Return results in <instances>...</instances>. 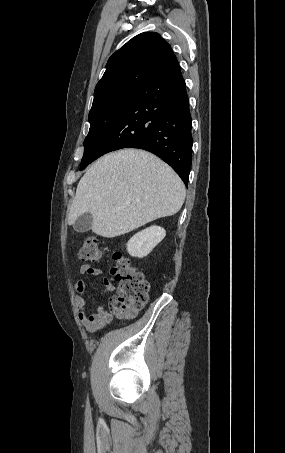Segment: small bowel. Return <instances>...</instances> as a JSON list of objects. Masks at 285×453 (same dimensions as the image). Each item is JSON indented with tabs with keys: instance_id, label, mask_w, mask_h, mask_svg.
Here are the masks:
<instances>
[{
	"instance_id": "small-bowel-1",
	"label": "small bowel",
	"mask_w": 285,
	"mask_h": 453,
	"mask_svg": "<svg viewBox=\"0 0 285 453\" xmlns=\"http://www.w3.org/2000/svg\"><path fill=\"white\" fill-rule=\"evenodd\" d=\"M81 275H93L100 276L101 270L90 265H82L79 269ZM104 292H111L114 289V285L111 280L107 277L103 278ZM74 290L77 293L75 296V305L77 308L78 318L81 324L85 327L87 332L95 333L103 329L108 323H110L113 317L121 318L124 314L120 311L114 298H110L108 301V309L105 305L100 306L96 312L87 314L86 312V301L82 294L86 291V284L80 280L74 285Z\"/></svg>"
}]
</instances>
